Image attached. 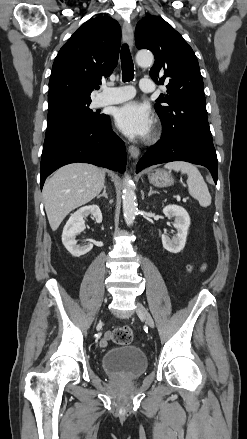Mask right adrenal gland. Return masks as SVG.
I'll use <instances>...</instances> for the list:
<instances>
[{"mask_svg":"<svg viewBox=\"0 0 247 439\" xmlns=\"http://www.w3.org/2000/svg\"><path fill=\"white\" fill-rule=\"evenodd\" d=\"M106 189L107 187L104 186L103 187V193L97 196V199L101 198V197H105L106 199H108L107 193H106Z\"/></svg>","mask_w":247,"mask_h":439,"instance_id":"2a0ac1e0","label":"right adrenal gland"}]
</instances>
